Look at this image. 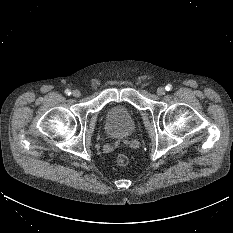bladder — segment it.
I'll use <instances>...</instances> for the list:
<instances>
[{
	"mask_svg": "<svg viewBox=\"0 0 233 233\" xmlns=\"http://www.w3.org/2000/svg\"><path fill=\"white\" fill-rule=\"evenodd\" d=\"M104 124L111 138H126L135 130L134 116L123 104H114L107 109Z\"/></svg>",
	"mask_w": 233,
	"mask_h": 233,
	"instance_id": "obj_1",
	"label": "bladder"
}]
</instances>
